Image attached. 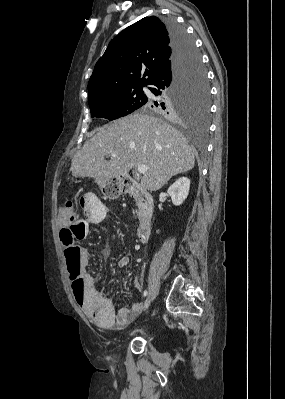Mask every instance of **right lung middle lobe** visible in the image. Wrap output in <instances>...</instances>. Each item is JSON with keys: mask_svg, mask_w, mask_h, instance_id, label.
I'll list each match as a JSON object with an SVG mask.
<instances>
[{"mask_svg": "<svg viewBox=\"0 0 285 399\" xmlns=\"http://www.w3.org/2000/svg\"><path fill=\"white\" fill-rule=\"evenodd\" d=\"M162 97L172 102L173 107L171 109L167 110L163 105L157 102L153 103L151 98L145 95L143 87L92 99L88 103L91 117L106 118L110 121L126 116L142 106L152 108L164 115L182 117L186 114H198L206 117L210 107V93L206 71L196 47L192 61L184 71L180 81L171 89L169 94L165 93Z\"/></svg>", "mask_w": 285, "mask_h": 399, "instance_id": "dd1d6c3e", "label": "right lung middle lobe"}]
</instances>
